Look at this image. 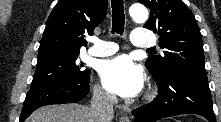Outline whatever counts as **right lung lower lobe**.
I'll return each instance as SVG.
<instances>
[{"instance_id":"98d812e1","label":"right lung lower lobe","mask_w":221,"mask_h":122,"mask_svg":"<svg viewBox=\"0 0 221 122\" xmlns=\"http://www.w3.org/2000/svg\"><path fill=\"white\" fill-rule=\"evenodd\" d=\"M89 76L82 81H63L31 86L24 101L20 122H24L34 110L41 106L82 100L89 93Z\"/></svg>"}]
</instances>
